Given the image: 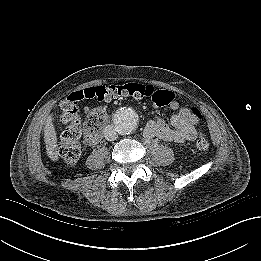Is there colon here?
Returning <instances> with one entry per match:
<instances>
[{"label":"colon","instance_id":"1","mask_svg":"<svg viewBox=\"0 0 261 261\" xmlns=\"http://www.w3.org/2000/svg\"><path fill=\"white\" fill-rule=\"evenodd\" d=\"M127 96L136 99L152 98L157 106H167L174 99V94L169 91L156 90L151 85L133 82L99 85L71 94L61 103L60 114L64 130L61 134L62 144L59 154L66 163L74 165L79 161L81 156L79 139L82 136V122L78 112V103L84 99L111 101ZM192 111L196 119L200 120L201 113L199 110L192 108ZM105 121L106 113L102 108H95L89 113L85 123V134L90 144H95L99 141ZM196 147L200 151L208 149L209 142L203 133L198 135Z\"/></svg>","mask_w":261,"mask_h":261}]
</instances>
